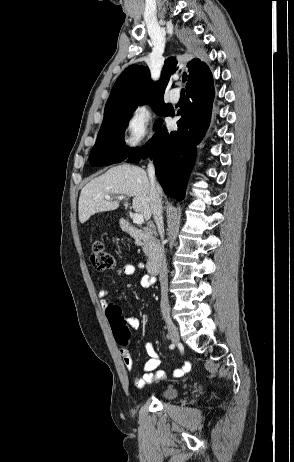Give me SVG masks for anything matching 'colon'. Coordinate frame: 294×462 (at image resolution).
Masks as SVG:
<instances>
[{
	"mask_svg": "<svg viewBox=\"0 0 294 462\" xmlns=\"http://www.w3.org/2000/svg\"><path fill=\"white\" fill-rule=\"evenodd\" d=\"M90 259L93 267L98 271L112 269L116 264L115 255L109 251L101 241H96L92 244ZM105 312L116 341L126 343L130 334L120 308L110 303L105 309Z\"/></svg>",
	"mask_w": 294,
	"mask_h": 462,
	"instance_id": "1",
	"label": "colon"
}]
</instances>
